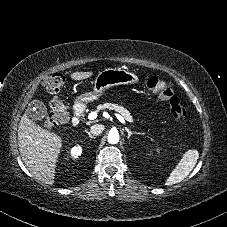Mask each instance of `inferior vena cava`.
I'll use <instances>...</instances> for the list:
<instances>
[{"mask_svg": "<svg viewBox=\"0 0 227 227\" xmlns=\"http://www.w3.org/2000/svg\"><path fill=\"white\" fill-rule=\"evenodd\" d=\"M104 131V125L102 124H95L93 126H91L90 132L93 135H99Z\"/></svg>", "mask_w": 227, "mask_h": 227, "instance_id": "inferior-vena-cava-1", "label": "inferior vena cava"}]
</instances>
